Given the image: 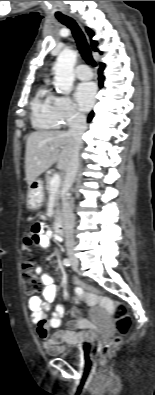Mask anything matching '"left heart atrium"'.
I'll list each match as a JSON object with an SVG mask.
<instances>
[{
  "label": "left heart atrium",
  "mask_w": 155,
  "mask_h": 395,
  "mask_svg": "<svg viewBox=\"0 0 155 395\" xmlns=\"http://www.w3.org/2000/svg\"><path fill=\"white\" fill-rule=\"evenodd\" d=\"M96 97V86L93 82H84L77 86L75 98L79 108L87 111L91 108Z\"/></svg>",
  "instance_id": "left-heart-atrium-1"
}]
</instances>
